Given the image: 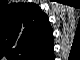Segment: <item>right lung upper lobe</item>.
<instances>
[{"label":"right lung upper lobe","mask_w":80,"mask_h":60,"mask_svg":"<svg viewBox=\"0 0 80 60\" xmlns=\"http://www.w3.org/2000/svg\"><path fill=\"white\" fill-rule=\"evenodd\" d=\"M4 23L7 42L15 51L37 54L49 46V24L47 15L32 3L12 4Z\"/></svg>","instance_id":"obj_1"}]
</instances>
